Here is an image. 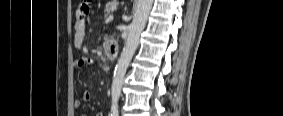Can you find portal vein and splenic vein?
Segmentation results:
<instances>
[{
	"instance_id": "portal-vein-and-splenic-vein-1",
	"label": "portal vein and splenic vein",
	"mask_w": 283,
	"mask_h": 116,
	"mask_svg": "<svg viewBox=\"0 0 283 116\" xmlns=\"http://www.w3.org/2000/svg\"><path fill=\"white\" fill-rule=\"evenodd\" d=\"M113 16L112 15H110L107 19H106V22H111V21H113Z\"/></svg>"
}]
</instances>
